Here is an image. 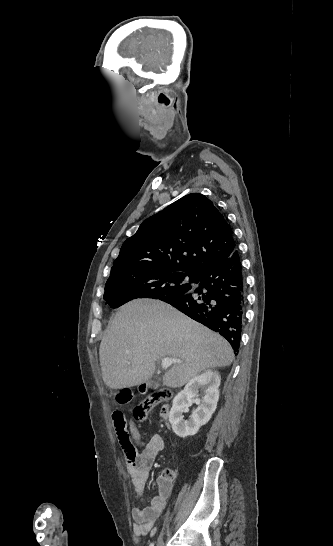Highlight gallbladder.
I'll return each instance as SVG.
<instances>
[{
	"label": "gallbladder",
	"instance_id": "bac80fb5",
	"mask_svg": "<svg viewBox=\"0 0 333 546\" xmlns=\"http://www.w3.org/2000/svg\"><path fill=\"white\" fill-rule=\"evenodd\" d=\"M148 386H149V388H153V389L158 388L159 387V381L158 380H151L149 382Z\"/></svg>",
	"mask_w": 333,
	"mask_h": 546
}]
</instances>
